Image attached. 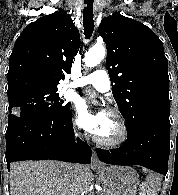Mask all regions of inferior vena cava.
I'll use <instances>...</instances> for the list:
<instances>
[{"instance_id": "1", "label": "inferior vena cava", "mask_w": 178, "mask_h": 195, "mask_svg": "<svg viewBox=\"0 0 178 195\" xmlns=\"http://www.w3.org/2000/svg\"><path fill=\"white\" fill-rule=\"evenodd\" d=\"M79 170H80L79 165H77V164L73 165L72 170H71L72 175L73 176H78L79 175Z\"/></svg>"}]
</instances>
